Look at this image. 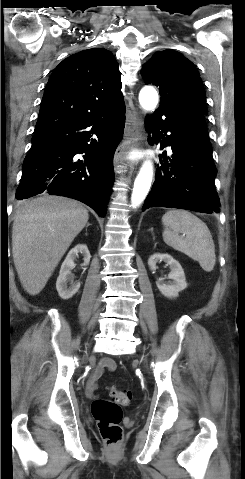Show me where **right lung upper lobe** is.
<instances>
[{"instance_id": "1", "label": "right lung upper lobe", "mask_w": 245, "mask_h": 479, "mask_svg": "<svg viewBox=\"0 0 245 479\" xmlns=\"http://www.w3.org/2000/svg\"><path fill=\"white\" fill-rule=\"evenodd\" d=\"M121 72L113 54L103 48L75 53L51 74L34 132L61 120L125 107Z\"/></svg>"}]
</instances>
